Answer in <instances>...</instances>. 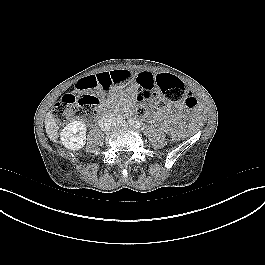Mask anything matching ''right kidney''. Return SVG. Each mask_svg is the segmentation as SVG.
I'll use <instances>...</instances> for the list:
<instances>
[{
    "label": "right kidney",
    "instance_id": "obj_1",
    "mask_svg": "<svg viewBox=\"0 0 265 265\" xmlns=\"http://www.w3.org/2000/svg\"><path fill=\"white\" fill-rule=\"evenodd\" d=\"M79 132L77 135L76 133ZM62 144L70 150H80L86 144V125L81 121H73L60 133Z\"/></svg>",
    "mask_w": 265,
    "mask_h": 265
}]
</instances>
